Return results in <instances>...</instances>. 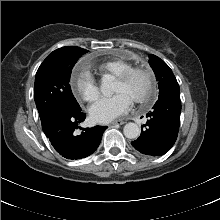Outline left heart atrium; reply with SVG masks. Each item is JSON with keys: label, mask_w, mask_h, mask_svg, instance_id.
<instances>
[{"label": "left heart atrium", "mask_w": 220, "mask_h": 220, "mask_svg": "<svg viewBox=\"0 0 220 220\" xmlns=\"http://www.w3.org/2000/svg\"><path fill=\"white\" fill-rule=\"evenodd\" d=\"M133 104V99L127 93H118L112 97L98 100L90 107L91 118L98 123H108L126 114Z\"/></svg>", "instance_id": "obj_1"}]
</instances>
